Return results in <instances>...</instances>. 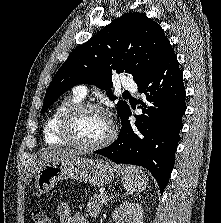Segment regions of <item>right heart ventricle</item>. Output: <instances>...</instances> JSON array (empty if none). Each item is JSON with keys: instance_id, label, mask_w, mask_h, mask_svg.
Returning a JSON list of instances; mask_svg holds the SVG:
<instances>
[{"instance_id": "obj_1", "label": "right heart ventricle", "mask_w": 221, "mask_h": 223, "mask_svg": "<svg viewBox=\"0 0 221 223\" xmlns=\"http://www.w3.org/2000/svg\"><path fill=\"white\" fill-rule=\"evenodd\" d=\"M83 102V97L75 91L66 95L52 110L43 127V138L48 145L64 144L58 135L60 120L64 112L71 106Z\"/></svg>"}]
</instances>
